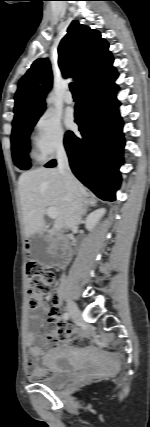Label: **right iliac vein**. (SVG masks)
Instances as JSON below:
<instances>
[{
  "label": "right iliac vein",
  "mask_w": 150,
  "mask_h": 427,
  "mask_svg": "<svg viewBox=\"0 0 150 427\" xmlns=\"http://www.w3.org/2000/svg\"><path fill=\"white\" fill-rule=\"evenodd\" d=\"M67 309H68V312H69L71 318L77 319L79 317L80 312L78 310V307L76 306V304L72 300H68Z\"/></svg>",
  "instance_id": "obj_1"
}]
</instances>
